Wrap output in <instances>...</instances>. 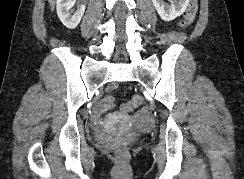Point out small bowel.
Segmentation results:
<instances>
[{
  "mask_svg": "<svg viewBox=\"0 0 244 179\" xmlns=\"http://www.w3.org/2000/svg\"><path fill=\"white\" fill-rule=\"evenodd\" d=\"M139 126H152L151 116H146L145 113L139 117Z\"/></svg>",
  "mask_w": 244,
  "mask_h": 179,
  "instance_id": "small-bowel-1",
  "label": "small bowel"
}]
</instances>
